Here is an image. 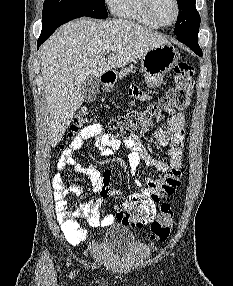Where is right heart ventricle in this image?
<instances>
[{"instance_id": "right-heart-ventricle-1", "label": "right heart ventricle", "mask_w": 233, "mask_h": 286, "mask_svg": "<svg viewBox=\"0 0 233 286\" xmlns=\"http://www.w3.org/2000/svg\"><path fill=\"white\" fill-rule=\"evenodd\" d=\"M107 2L115 16L136 21L150 28H158L147 13L144 0H107Z\"/></svg>"}]
</instances>
